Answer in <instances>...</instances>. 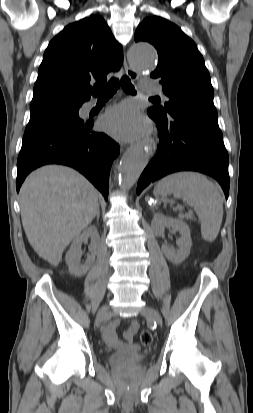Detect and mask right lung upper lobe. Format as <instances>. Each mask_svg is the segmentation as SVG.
Masks as SVG:
<instances>
[{
	"label": "right lung upper lobe",
	"instance_id": "cb5924a9",
	"mask_svg": "<svg viewBox=\"0 0 253 413\" xmlns=\"http://www.w3.org/2000/svg\"><path fill=\"white\" fill-rule=\"evenodd\" d=\"M123 62L121 45L101 16L66 26L49 43L34 85L31 113L81 107L90 82L102 87Z\"/></svg>",
	"mask_w": 253,
	"mask_h": 413
}]
</instances>
